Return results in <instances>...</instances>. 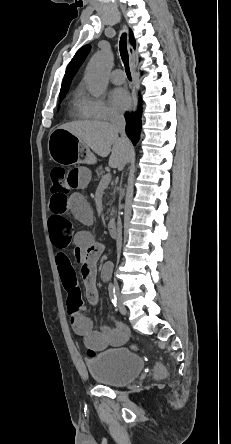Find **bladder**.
<instances>
[{"label":"bladder","mask_w":231,"mask_h":444,"mask_svg":"<svg viewBox=\"0 0 231 444\" xmlns=\"http://www.w3.org/2000/svg\"><path fill=\"white\" fill-rule=\"evenodd\" d=\"M143 366L141 357L126 347L106 350L86 360L90 375L99 383L113 387L131 383Z\"/></svg>","instance_id":"1"}]
</instances>
